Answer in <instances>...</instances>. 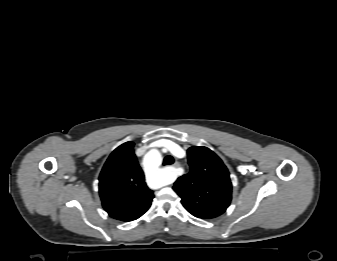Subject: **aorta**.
Returning <instances> with one entry per match:
<instances>
[{"label": "aorta", "mask_w": 337, "mask_h": 261, "mask_svg": "<svg viewBox=\"0 0 337 261\" xmlns=\"http://www.w3.org/2000/svg\"><path fill=\"white\" fill-rule=\"evenodd\" d=\"M144 162L150 174L158 177L161 180V186L170 184L173 181L174 177L170 168H158L162 162L161 154L158 151L152 150L147 153Z\"/></svg>", "instance_id": "1"}]
</instances>
